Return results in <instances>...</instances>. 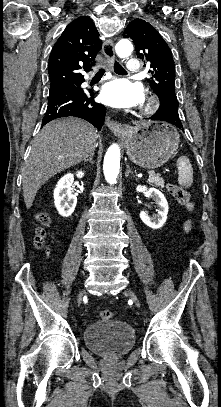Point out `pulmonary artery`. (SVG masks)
<instances>
[{"label": "pulmonary artery", "mask_w": 221, "mask_h": 407, "mask_svg": "<svg viewBox=\"0 0 221 407\" xmlns=\"http://www.w3.org/2000/svg\"><path fill=\"white\" fill-rule=\"evenodd\" d=\"M126 67L129 73L136 74L140 70L139 61L135 58H131L127 61Z\"/></svg>", "instance_id": "obj_1"}]
</instances>
